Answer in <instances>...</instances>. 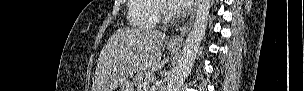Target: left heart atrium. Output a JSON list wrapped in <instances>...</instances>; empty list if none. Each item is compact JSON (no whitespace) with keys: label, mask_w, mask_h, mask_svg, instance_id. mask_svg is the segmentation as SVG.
Segmentation results:
<instances>
[{"label":"left heart atrium","mask_w":304,"mask_h":91,"mask_svg":"<svg viewBox=\"0 0 304 91\" xmlns=\"http://www.w3.org/2000/svg\"><path fill=\"white\" fill-rule=\"evenodd\" d=\"M191 3V0H173L171 5L172 11L174 14H184L190 8Z\"/></svg>","instance_id":"1"}]
</instances>
